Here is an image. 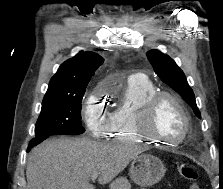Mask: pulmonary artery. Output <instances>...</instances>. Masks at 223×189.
Segmentation results:
<instances>
[{
  "label": "pulmonary artery",
  "instance_id": "e3ab8cb5",
  "mask_svg": "<svg viewBox=\"0 0 223 189\" xmlns=\"http://www.w3.org/2000/svg\"><path fill=\"white\" fill-rule=\"evenodd\" d=\"M143 80H145V76L140 73L132 75L129 79V81H143Z\"/></svg>",
  "mask_w": 223,
  "mask_h": 189
}]
</instances>
